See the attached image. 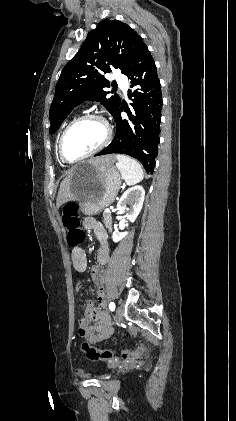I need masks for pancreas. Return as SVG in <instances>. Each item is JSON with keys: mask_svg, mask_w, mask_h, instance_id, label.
Instances as JSON below:
<instances>
[{"mask_svg": "<svg viewBox=\"0 0 236 421\" xmlns=\"http://www.w3.org/2000/svg\"><path fill=\"white\" fill-rule=\"evenodd\" d=\"M103 217L107 229H111V213H103Z\"/></svg>", "mask_w": 236, "mask_h": 421, "instance_id": "1", "label": "pancreas"}]
</instances>
